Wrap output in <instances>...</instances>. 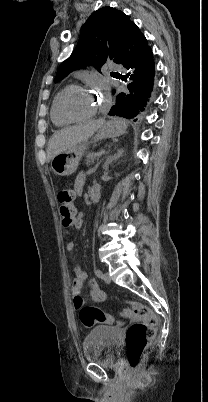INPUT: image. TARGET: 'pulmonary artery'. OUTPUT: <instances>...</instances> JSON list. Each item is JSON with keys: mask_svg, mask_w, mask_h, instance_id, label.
<instances>
[{"mask_svg": "<svg viewBox=\"0 0 208 402\" xmlns=\"http://www.w3.org/2000/svg\"><path fill=\"white\" fill-rule=\"evenodd\" d=\"M108 64H109V63H108ZM108 69H109L110 71H113L114 74H119V73H120V70H122V67L119 66V65H117V64H110V65L108 66Z\"/></svg>", "mask_w": 208, "mask_h": 402, "instance_id": "pulmonary-artery-1", "label": "pulmonary artery"}]
</instances>
